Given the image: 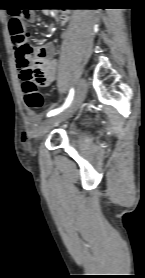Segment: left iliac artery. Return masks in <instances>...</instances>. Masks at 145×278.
<instances>
[{
  "instance_id": "44dca946",
  "label": "left iliac artery",
  "mask_w": 145,
  "mask_h": 278,
  "mask_svg": "<svg viewBox=\"0 0 145 278\" xmlns=\"http://www.w3.org/2000/svg\"><path fill=\"white\" fill-rule=\"evenodd\" d=\"M73 97H74V89L71 88L70 91H69V94H68V97L65 101V103L60 107V108H57V109H54V110H51L47 113V117H51V116H54V115H57L59 114L60 112H62L64 109H66L67 107H69V105L71 104L72 100H73Z\"/></svg>"
}]
</instances>
